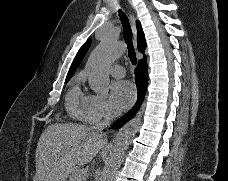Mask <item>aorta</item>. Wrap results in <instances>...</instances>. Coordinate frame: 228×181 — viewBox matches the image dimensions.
Wrapping results in <instances>:
<instances>
[{
    "label": "aorta",
    "mask_w": 228,
    "mask_h": 181,
    "mask_svg": "<svg viewBox=\"0 0 228 181\" xmlns=\"http://www.w3.org/2000/svg\"><path fill=\"white\" fill-rule=\"evenodd\" d=\"M124 53L122 43L106 36L91 53L85 67L91 89L98 95L106 96L109 91V67ZM140 120L134 118L117 133L101 174L100 181H113L115 171L120 166L125 152L139 130Z\"/></svg>",
    "instance_id": "1"
}]
</instances>
